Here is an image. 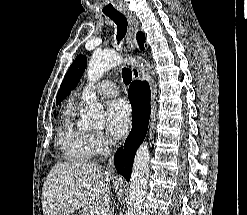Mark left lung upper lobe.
<instances>
[{"label": "left lung upper lobe", "mask_w": 247, "mask_h": 215, "mask_svg": "<svg viewBox=\"0 0 247 215\" xmlns=\"http://www.w3.org/2000/svg\"><path fill=\"white\" fill-rule=\"evenodd\" d=\"M137 40L141 46V49L143 50V42H144V34L139 32L137 34ZM87 65V59L83 55H79L76 57V59L71 64L70 68L68 69L63 82L60 86V89L58 91L57 97H56V104H61L62 100L69 95L71 90H73L79 80L81 79L84 70Z\"/></svg>", "instance_id": "1"}]
</instances>
